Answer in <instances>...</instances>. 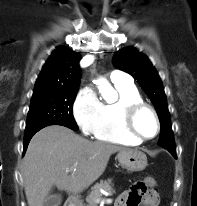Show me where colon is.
<instances>
[{"label": "colon", "mask_w": 197, "mask_h": 206, "mask_svg": "<svg viewBox=\"0 0 197 206\" xmlns=\"http://www.w3.org/2000/svg\"><path fill=\"white\" fill-rule=\"evenodd\" d=\"M156 181L153 178H147L143 181L136 182L130 190L129 204L130 206H138L144 195L154 189Z\"/></svg>", "instance_id": "5ec220e1"}]
</instances>
